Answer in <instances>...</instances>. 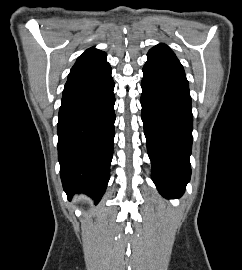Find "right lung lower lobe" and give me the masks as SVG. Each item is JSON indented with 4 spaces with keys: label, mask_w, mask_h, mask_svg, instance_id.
<instances>
[{
    "label": "right lung lower lobe",
    "mask_w": 242,
    "mask_h": 270,
    "mask_svg": "<svg viewBox=\"0 0 242 270\" xmlns=\"http://www.w3.org/2000/svg\"><path fill=\"white\" fill-rule=\"evenodd\" d=\"M105 60L68 79L58 115L60 176L68 198L85 193L98 202L110 178L115 97Z\"/></svg>",
    "instance_id": "right-lung-lower-lobe-1"
}]
</instances>
